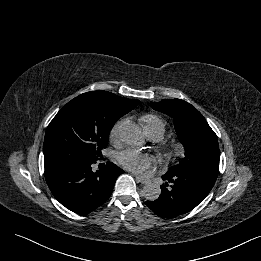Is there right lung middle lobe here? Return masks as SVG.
Listing matches in <instances>:
<instances>
[{
	"label": "right lung middle lobe",
	"instance_id": "1",
	"mask_svg": "<svg viewBox=\"0 0 261 261\" xmlns=\"http://www.w3.org/2000/svg\"><path fill=\"white\" fill-rule=\"evenodd\" d=\"M125 113H106L89 98L72 99L48 125L43 146L44 164L98 159L107 146L110 130Z\"/></svg>",
	"mask_w": 261,
	"mask_h": 261
}]
</instances>
